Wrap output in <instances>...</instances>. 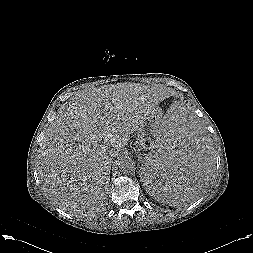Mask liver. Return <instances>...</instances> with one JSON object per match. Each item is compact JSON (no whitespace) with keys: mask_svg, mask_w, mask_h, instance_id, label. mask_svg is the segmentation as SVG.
Returning a JSON list of instances; mask_svg holds the SVG:
<instances>
[{"mask_svg":"<svg viewBox=\"0 0 253 253\" xmlns=\"http://www.w3.org/2000/svg\"><path fill=\"white\" fill-rule=\"evenodd\" d=\"M168 91L158 85L118 83L81 90L64 103L38 155L50 200L79 217L104 211L114 157Z\"/></svg>","mask_w":253,"mask_h":253,"instance_id":"liver-1","label":"liver"}]
</instances>
